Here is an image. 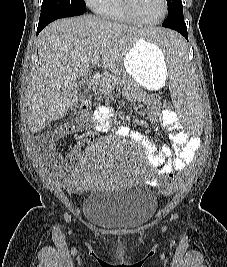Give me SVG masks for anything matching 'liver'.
<instances>
[{
    "instance_id": "obj_1",
    "label": "liver",
    "mask_w": 227,
    "mask_h": 267,
    "mask_svg": "<svg viewBox=\"0 0 227 267\" xmlns=\"http://www.w3.org/2000/svg\"><path fill=\"white\" fill-rule=\"evenodd\" d=\"M155 33L93 15L60 19L38 36L39 60L27 91V124L36 133L62 117L78 98V80L91 63L114 69L139 39Z\"/></svg>"
}]
</instances>
